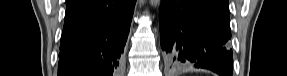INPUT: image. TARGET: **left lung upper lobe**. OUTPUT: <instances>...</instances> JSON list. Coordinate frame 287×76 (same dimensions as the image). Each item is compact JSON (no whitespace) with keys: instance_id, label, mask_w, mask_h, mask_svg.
<instances>
[{"instance_id":"obj_1","label":"left lung upper lobe","mask_w":287,"mask_h":76,"mask_svg":"<svg viewBox=\"0 0 287 76\" xmlns=\"http://www.w3.org/2000/svg\"><path fill=\"white\" fill-rule=\"evenodd\" d=\"M210 4L220 7L221 9L228 11L229 2L228 0H209Z\"/></svg>"}]
</instances>
